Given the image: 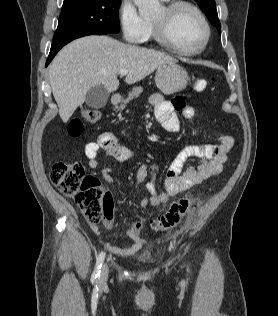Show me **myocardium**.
<instances>
[{
	"mask_svg": "<svg viewBox=\"0 0 278 316\" xmlns=\"http://www.w3.org/2000/svg\"><path fill=\"white\" fill-rule=\"evenodd\" d=\"M182 7H188L191 10H193L196 13V15L199 17V19L201 20L205 28L204 41L200 47L194 50H186L182 48L180 45H178L170 30V20L172 16L174 15L176 11H178ZM163 10H164V17L162 19L152 20V26H153L154 36L156 40L160 42L161 44L169 47L176 53L184 55V56H195L202 53L206 49L211 39V26L204 12L201 10V8L191 1L171 0L170 3L166 4L163 7Z\"/></svg>",
	"mask_w": 278,
	"mask_h": 316,
	"instance_id": "f54148a6",
	"label": "myocardium"
}]
</instances>
